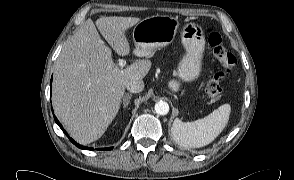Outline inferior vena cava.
I'll list each match as a JSON object with an SVG mask.
<instances>
[{
	"label": "inferior vena cava",
	"instance_id": "inferior-vena-cava-1",
	"mask_svg": "<svg viewBox=\"0 0 294 180\" xmlns=\"http://www.w3.org/2000/svg\"><path fill=\"white\" fill-rule=\"evenodd\" d=\"M126 88L132 93H139L144 89V82L139 79H133L126 84Z\"/></svg>",
	"mask_w": 294,
	"mask_h": 180
}]
</instances>
